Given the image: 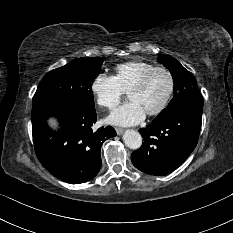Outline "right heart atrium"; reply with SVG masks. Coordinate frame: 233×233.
Here are the masks:
<instances>
[{
	"instance_id": "right-heart-atrium-1",
	"label": "right heart atrium",
	"mask_w": 233,
	"mask_h": 233,
	"mask_svg": "<svg viewBox=\"0 0 233 233\" xmlns=\"http://www.w3.org/2000/svg\"><path fill=\"white\" fill-rule=\"evenodd\" d=\"M90 88L96 103L102 108H114L124 94L115 78L106 73H98L91 81Z\"/></svg>"
}]
</instances>
